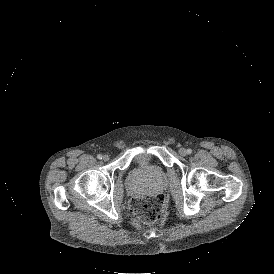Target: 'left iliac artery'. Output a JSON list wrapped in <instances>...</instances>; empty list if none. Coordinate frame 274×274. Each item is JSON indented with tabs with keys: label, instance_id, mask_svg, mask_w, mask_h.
<instances>
[{
	"label": "left iliac artery",
	"instance_id": "44dca946",
	"mask_svg": "<svg viewBox=\"0 0 274 274\" xmlns=\"http://www.w3.org/2000/svg\"><path fill=\"white\" fill-rule=\"evenodd\" d=\"M192 150L191 149H187V154H191Z\"/></svg>",
	"mask_w": 274,
	"mask_h": 274
}]
</instances>
